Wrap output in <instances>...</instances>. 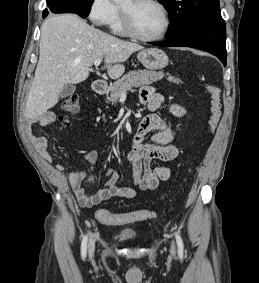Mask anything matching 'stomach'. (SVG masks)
Returning <instances> with one entry per match:
<instances>
[{"label":"stomach","instance_id":"stomach-1","mask_svg":"<svg viewBox=\"0 0 259 283\" xmlns=\"http://www.w3.org/2000/svg\"><path fill=\"white\" fill-rule=\"evenodd\" d=\"M138 60L150 70L162 69L168 65L169 59L164 51L158 48H148L138 52Z\"/></svg>","mask_w":259,"mask_h":283}]
</instances>
